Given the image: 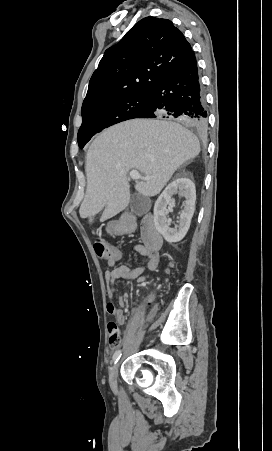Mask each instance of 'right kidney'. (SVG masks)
Returning a JSON list of instances; mask_svg holds the SVG:
<instances>
[{
    "label": "right kidney",
    "instance_id": "1",
    "mask_svg": "<svg viewBox=\"0 0 272 451\" xmlns=\"http://www.w3.org/2000/svg\"><path fill=\"white\" fill-rule=\"evenodd\" d=\"M178 194L180 198H185L184 208L181 210V214L177 220V224L174 227H170L172 224L171 218H168L167 214L169 210H166L167 206L173 208L172 202H174L173 196ZM196 202V190L195 184L189 180V178H176L174 182H171L154 206V222L156 229L162 233L166 241H180L185 237L195 212Z\"/></svg>",
    "mask_w": 272,
    "mask_h": 451
}]
</instances>
